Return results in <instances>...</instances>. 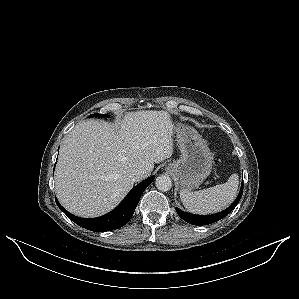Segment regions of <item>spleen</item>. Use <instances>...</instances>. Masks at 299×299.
I'll list each match as a JSON object with an SVG mask.
<instances>
[{"label": "spleen", "mask_w": 299, "mask_h": 299, "mask_svg": "<svg viewBox=\"0 0 299 299\" xmlns=\"http://www.w3.org/2000/svg\"><path fill=\"white\" fill-rule=\"evenodd\" d=\"M237 190L238 175L232 174L226 183L214 187L196 192L181 189L180 198L189 212L210 214L226 208L235 198Z\"/></svg>", "instance_id": "1"}]
</instances>
